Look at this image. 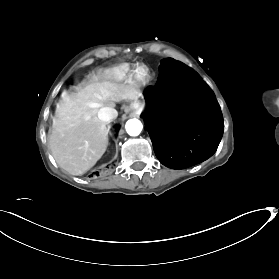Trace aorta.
Listing matches in <instances>:
<instances>
[{
    "instance_id": "obj_1",
    "label": "aorta",
    "mask_w": 279,
    "mask_h": 279,
    "mask_svg": "<svg viewBox=\"0 0 279 279\" xmlns=\"http://www.w3.org/2000/svg\"><path fill=\"white\" fill-rule=\"evenodd\" d=\"M125 129L130 136H138L143 129V125L138 119H130L126 122Z\"/></svg>"
}]
</instances>
